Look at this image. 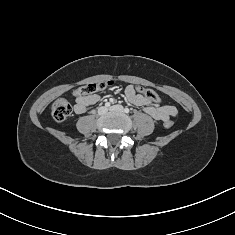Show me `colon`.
<instances>
[{
	"label": "colon",
	"mask_w": 235,
	"mask_h": 235,
	"mask_svg": "<svg viewBox=\"0 0 235 235\" xmlns=\"http://www.w3.org/2000/svg\"><path fill=\"white\" fill-rule=\"evenodd\" d=\"M112 85L111 81H102V82H94L84 85L78 88L74 95L76 96H85L87 94L96 93L99 91H103ZM136 91L143 95L147 100L158 103L160 101V96L152 89L144 88V87H136ZM71 114V105L70 103L64 99H57L52 105V117L56 121H64ZM165 126L167 128H171L173 126L172 121H167Z\"/></svg>",
	"instance_id": "1"
}]
</instances>
